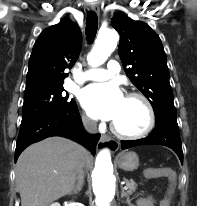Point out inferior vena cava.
<instances>
[{
	"instance_id": "1",
	"label": "inferior vena cava",
	"mask_w": 197,
	"mask_h": 206,
	"mask_svg": "<svg viewBox=\"0 0 197 206\" xmlns=\"http://www.w3.org/2000/svg\"><path fill=\"white\" fill-rule=\"evenodd\" d=\"M82 122H83V126L87 132L92 133V134L96 133L97 124L95 121H92L88 118H83ZM84 168H85V163L83 162L81 164L80 169H79L78 174H77L78 182H83V180H84V170H83Z\"/></svg>"
}]
</instances>
